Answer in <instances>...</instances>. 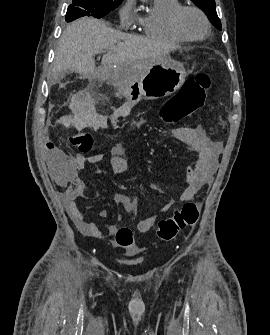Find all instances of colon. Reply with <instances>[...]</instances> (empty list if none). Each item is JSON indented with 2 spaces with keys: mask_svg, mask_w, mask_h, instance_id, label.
<instances>
[{
  "mask_svg": "<svg viewBox=\"0 0 270 335\" xmlns=\"http://www.w3.org/2000/svg\"><path fill=\"white\" fill-rule=\"evenodd\" d=\"M210 83V76L207 73H201L187 80L182 91L172 95L160 110L162 119L167 123L183 121L185 117L203 105ZM69 141L80 152L91 153L94 151L95 140L89 132H76L70 136ZM198 211L196 202L183 203L176 208L172 215L159 220L156 226L157 236L163 242L173 241L180 232L196 224ZM116 241L121 247H130L133 242L131 229L128 227L119 228L116 233Z\"/></svg>",
  "mask_w": 270,
  "mask_h": 335,
  "instance_id": "obj_1",
  "label": "colon"
}]
</instances>
